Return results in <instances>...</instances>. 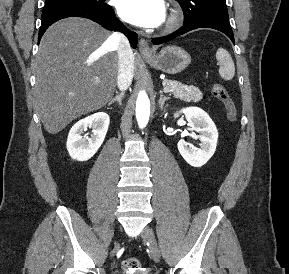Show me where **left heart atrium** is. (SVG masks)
Wrapping results in <instances>:
<instances>
[{
	"instance_id": "obj_1",
	"label": "left heart atrium",
	"mask_w": 289,
	"mask_h": 274,
	"mask_svg": "<svg viewBox=\"0 0 289 274\" xmlns=\"http://www.w3.org/2000/svg\"><path fill=\"white\" fill-rule=\"evenodd\" d=\"M117 11L124 21L140 27H156L165 19L163 0H118Z\"/></svg>"
}]
</instances>
